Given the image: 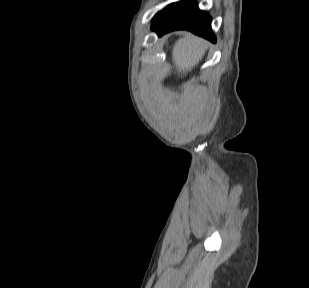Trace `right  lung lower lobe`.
I'll use <instances>...</instances> for the list:
<instances>
[{"instance_id":"right-lung-lower-lobe-1","label":"right lung lower lobe","mask_w":309,"mask_h":288,"mask_svg":"<svg viewBox=\"0 0 309 288\" xmlns=\"http://www.w3.org/2000/svg\"><path fill=\"white\" fill-rule=\"evenodd\" d=\"M152 30H155L159 36L174 30H189L216 42V37L211 29V17L199 10L197 3L193 0H184L177 9L152 25Z\"/></svg>"}]
</instances>
